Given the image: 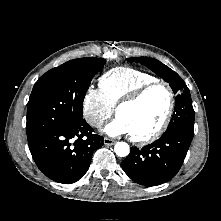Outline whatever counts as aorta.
Listing matches in <instances>:
<instances>
[{"instance_id":"1","label":"aorta","mask_w":221,"mask_h":221,"mask_svg":"<svg viewBox=\"0 0 221 221\" xmlns=\"http://www.w3.org/2000/svg\"><path fill=\"white\" fill-rule=\"evenodd\" d=\"M114 151L116 155L120 157H126L130 152V147L125 142H117L114 146Z\"/></svg>"}]
</instances>
